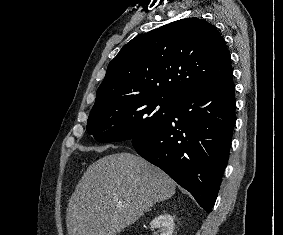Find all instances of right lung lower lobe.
Returning <instances> with one entry per match:
<instances>
[{
  "label": "right lung lower lobe",
  "mask_w": 283,
  "mask_h": 235,
  "mask_svg": "<svg viewBox=\"0 0 283 235\" xmlns=\"http://www.w3.org/2000/svg\"><path fill=\"white\" fill-rule=\"evenodd\" d=\"M232 74L181 93L169 118L144 137L132 139L137 153L165 171L211 212L226 167L236 122Z\"/></svg>",
  "instance_id": "right-lung-lower-lobe-1"
}]
</instances>
